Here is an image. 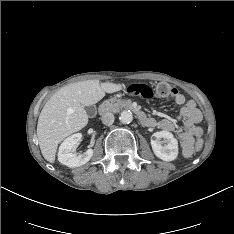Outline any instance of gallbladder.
Here are the masks:
<instances>
[{"instance_id": "obj_1", "label": "gallbladder", "mask_w": 234, "mask_h": 234, "mask_svg": "<svg viewBox=\"0 0 234 234\" xmlns=\"http://www.w3.org/2000/svg\"><path fill=\"white\" fill-rule=\"evenodd\" d=\"M85 110L89 116H93L96 112V109L94 106H86Z\"/></svg>"}]
</instances>
